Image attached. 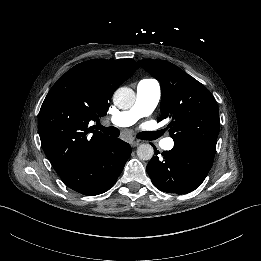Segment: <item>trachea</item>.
Listing matches in <instances>:
<instances>
[{
    "label": "trachea",
    "instance_id": "trachea-1",
    "mask_svg": "<svg viewBox=\"0 0 261 261\" xmlns=\"http://www.w3.org/2000/svg\"><path fill=\"white\" fill-rule=\"evenodd\" d=\"M95 129H99L101 130L103 133L113 136V137H118L120 135V131L118 128L116 127H104L102 126L99 122H97V125H95ZM148 132H141L137 135V138L139 139H144V136L147 134Z\"/></svg>",
    "mask_w": 261,
    "mask_h": 261
}]
</instances>
